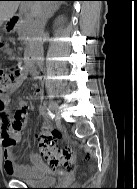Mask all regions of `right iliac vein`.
I'll use <instances>...</instances> for the list:
<instances>
[{"label":"right iliac vein","mask_w":137,"mask_h":189,"mask_svg":"<svg viewBox=\"0 0 137 189\" xmlns=\"http://www.w3.org/2000/svg\"><path fill=\"white\" fill-rule=\"evenodd\" d=\"M48 107L50 108V110L52 112H54L57 116L59 115V111H58V105L56 102H54L53 100L49 99L48 102Z\"/></svg>","instance_id":"63e3f726"}]
</instances>
